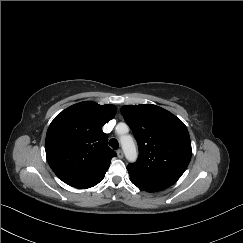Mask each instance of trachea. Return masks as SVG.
I'll use <instances>...</instances> for the list:
<instances>
[{"mask_svg": "<svg viewBox=\"0 0 243 243\" xmlns=\"http://www.w3.org/2000/svg\"><path fill=\"white\" fill-rule=\"evenodd\" d=\"M109 144L114 150H117L119 148V143L114 138L109 141Z\"/></svg>", "mask_w": 243, "mask_h": 243, "instance_id": "3493384b", "label": "trachea"}]
</instances>
